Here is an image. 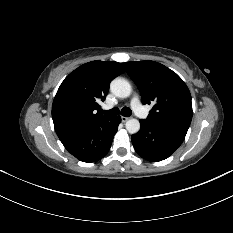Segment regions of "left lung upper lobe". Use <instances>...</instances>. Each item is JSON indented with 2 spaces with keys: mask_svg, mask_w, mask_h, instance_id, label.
<instances>
[{
  "mask_svg": "<svg viewBox=\"0 0 233 233\" xmlns=\"http://www.w3.org/2000/svg\"><path fill=\"white\" fill-rule=\"evenodd\" d=\"M122 65L140 90L143 104L154 105L146 121L186 134L192 120V102L184 81L154 61Z\"/></svg>",
  "mask_w": 233,
  "mask_h": 233,
  "instance_id": "left-lung-upper-lobe-1",
  "label": "left lung upper lobe"
}]
</instances>
